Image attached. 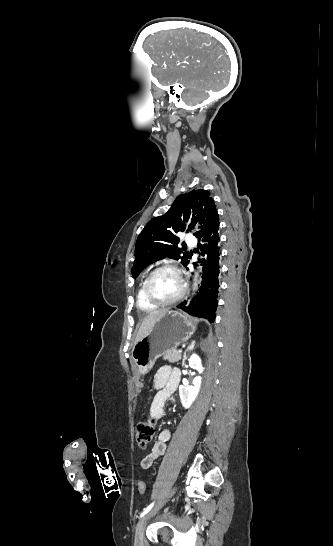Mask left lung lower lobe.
<instances>
[{"instance_id":"obj_1","label":"left lung lower lobe","mask_w":333,"mask_h":546,"mask_svg":"<svg viewBox=\"0 0 333 546\" xmlns=\"http://www.w3.org/2000/svg\"><path fill=\"white\" fill-rule=\"evenodd\" d=\"M219 216H214L211 223L198 236L204 243L202 246L203 265L202 282L197 295L190 303L184 301L177 307L190 315L207 319L210 323L215 320L218 306L220 253H219Z\"/></svg>"}]
</instances>
